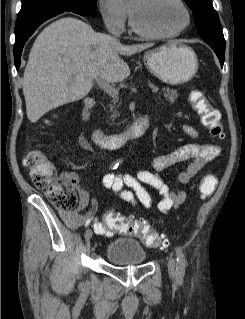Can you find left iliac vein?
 I'll return each mask as SVG.
<instances>
[{
    "mask_svg": "<svg viewBox=\"0 0 245 319\" xmlns=\"http://www.w3.org/2000/svg\"><path fill=\"white\" fill-rule=\"evenodd\" d=\"M175 260L173 258H170L168 261V272L172 279L175 278Z\"/></svg>",
    "mask_w": 245,
    "mask_h": 319,
    "instance_id": "left-iliac-vein-1",
    "label": "left iliac vein"
}]
</instances>
